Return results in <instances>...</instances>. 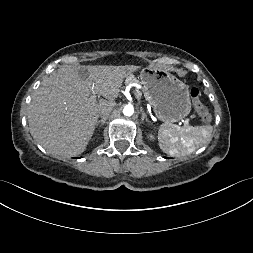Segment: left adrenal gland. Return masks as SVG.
I'll use <instances>...</instances> for the list:
<instances>
[{"label":"left adrenal gland","instance_id":"obj_1","mask_svg":"<svg viewBox=\"0 0 253 253\" xmlns=\"http://www.w3.org/2000/svg\"><path fill=\"white\" fill-rule=\"evenodd\" d=\"M140 111H141V120H142V122L144 120H146L147 122H150L142 107L140 108Z\"/></svg>","mask_w":253,"mask_h":253}]
</instances>
